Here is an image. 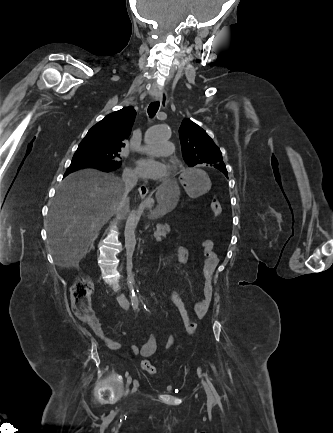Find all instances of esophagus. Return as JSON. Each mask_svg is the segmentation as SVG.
I'll use <instances>...</instances> for the list:
<instances>
[{
    "label": "esophagus",
    "mask_w": 333,
    "mask_h": 433,
    "mask_svg": "<svg viewBox=\"0 0 333 433\" xmlns=\"http://www.w3.org/2000/svg\"><path fill=\"white\" fill-rule=\"evenodd\" d=\"M155 100L160 102V106H161L162 109L166 108L167 101H166V99H165L164 94H163L162 91H159V92L156 93ZM138 191H139V195H140L141 199H144L147 196V194H148V188L144 184H142V185L139 186Z\"/></svg>",
    "instance_id": "34e87169"
}]
</instances>
